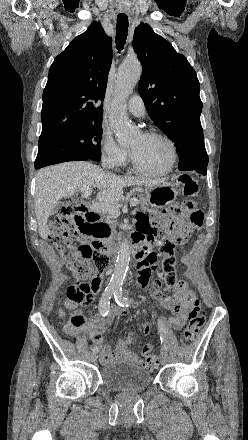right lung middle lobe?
I'll return each mask as SVG.
<instances>
[{
    "label": "right lung middle lobe",
    "instance_id": "1",
    "mask_svg": "<svg viewBox=\"0 0 248 440\" xmlns=\"http://www.w3.org/2000/svg\"><path fill=\"white\" fill-rule=\"evenodd\" d=\"M101 138V122L41 135L35 168L66 161H99Z\"/></svg>",
    "mask_w": 248,
    "mask_h": 440
}]
</instances>
